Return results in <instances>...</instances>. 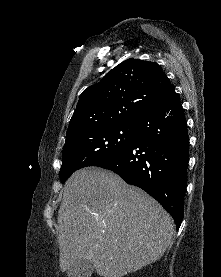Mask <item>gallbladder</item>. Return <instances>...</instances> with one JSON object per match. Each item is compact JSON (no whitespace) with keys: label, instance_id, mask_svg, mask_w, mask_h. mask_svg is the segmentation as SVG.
I'll use <instances>...</instances> for the list:
<instances>
[{"label":"gallbladder","instance_id":"gallbladder-1","mask_svg":"<svg viewBox=\"0 0 221 277\" xmlns=\"http://www.w3.org/2000/svg\"><path fill=\"white\" fill-rule=\"evenodd\" d=\"M95 268L91 261L80 259L67 270L68 277H91Z\"/></svg>","mask_w":221,"mask_h":277}]
</instances>
